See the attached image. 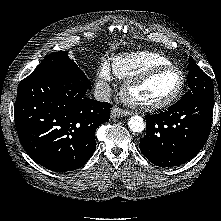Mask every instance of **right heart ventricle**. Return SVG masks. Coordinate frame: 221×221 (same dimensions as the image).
Segmentation results:
<instances>
[{"instance_id":"obj_1","label":"right heart ventricle","mask_w":221,"mask_h":221,"mask_svg":"<svg viewBox=\"0 0 221 221\" xmlns=\"http://www.w3.org/2000/svg\"><path fill=\"white\" fill-rule=\"evenodd\" d=\"M169 65L172 61L162 54L137 51L115 56L110 66L115 76L125 80L149 68Z\"/></svg>"}]
</instances>
